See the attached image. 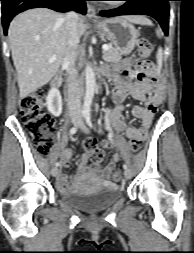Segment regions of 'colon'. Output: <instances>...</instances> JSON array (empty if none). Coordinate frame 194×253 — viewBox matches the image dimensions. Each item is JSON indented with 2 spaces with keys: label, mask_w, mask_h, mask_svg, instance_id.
<instances>
[{
  "label": "colon",
  "mask_w": 194,
  "mask_h": 253,
  "mask_svg": "<svg viewBox=\"0 0 194 253\" xmlns=\"http://www.w3.org/2000/svg\"><path fill=\"white\" fill-rule=\"evenodd\" d=\"M152 45L147 38H141L137 42L136 52L133 55V61L139 67L141 61H136V56H149ZM44 92L36 90L26 95L20 103V114L24 126L29 130L36 149L41 155L50 153L54 141L55 121L44 109ZM98 137H86L83 147L90 152V160L93 163H100L103 158V152L97 148ZM130 149L132 152H138L142 147V140L133 138L130 140ZM115 182L121 180V172L115 170L112 174Z\"/></svg>",
  "instance_id": "colon-1"
}]
</instances>
